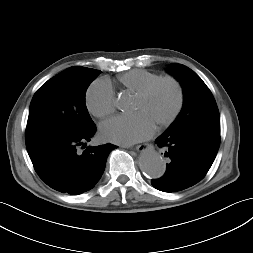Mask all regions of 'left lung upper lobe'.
Wrapping results in <instances>:
<instances>
[{
  "label": "left lung upper lobe",
  "mask_w": 253,
  "mask_h": 253,
  "mask_svg": "<svg viewBox=\"0 0 253 253\" xmlns=\"http://www.w3.org/2000/svg\"><path fill=\"white\" fill-rule=\"evenodd\" d=\"M167 70L181 83L184 93L182 111L169 128L185 126L200 120L220 123L215 99L203 80L182 64H171Z\"/></svg>",
  "instance_id": "obj_1"
}]
</instances>
